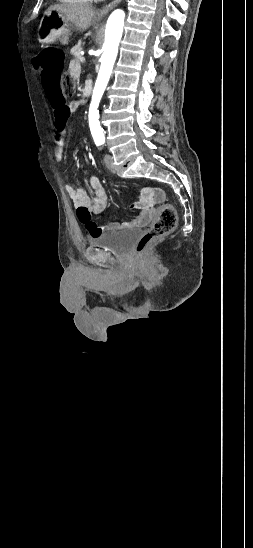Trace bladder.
<instances>
[{"instance_id": "bladder-1", "label": "bladder", "mask_w": 253, "mask_h": 548, "mask_svg": "<svg viewBox=\"0 0 253 548\" xmlns=\"http://www.w3.org/2000/svg\"><path fill=\"white\" fill-rule=\"evenodd\" d=\"M140 236L141 230L139 229L109 231L90 237L89 243L93 246L104 247L115 254H126Z\"/></svg>"}]
</instances>
